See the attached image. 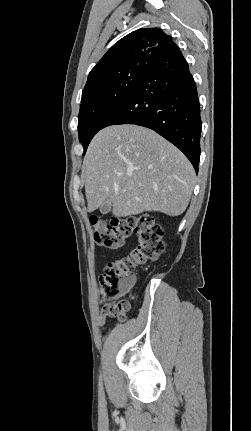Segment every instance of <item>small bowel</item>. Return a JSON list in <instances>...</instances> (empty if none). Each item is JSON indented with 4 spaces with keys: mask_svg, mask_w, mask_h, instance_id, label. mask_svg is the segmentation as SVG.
Listing matches in <instances>:
<instances>
[{
    "mask_svg": "<svg viewBox=\"0 0 251 431\" xmlns=\"http://www.w3.org/2000/svg\"><path fill=\"white\" fill-rule=\"evenodd\" d=\"M110 316L105 309L103 308V310L101 311L100 317H99V323L100 325H104L106 318Z\"/></svg>",
    "mask_w": 251,
    "mask_h": 431,
    "instance_id": "small-bowel-1",
    "label": "small bowel"
}]
</instances>
